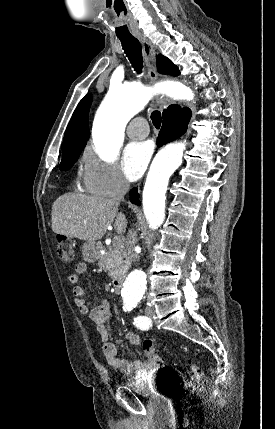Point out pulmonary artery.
Wrapping results in <instances>:
<instances>
[{"mask_svg":"<svg viewBox=\"0 0 275 429\" xmlns=\"http://www.w3.org/2000/svg\"><path fill=\"white\" fill-rule=\"evenodd\" d=\"M148 133L149 127L147 121L142 117L133 119L127 127V134L133 139H143L147 137Z\"/></svg>","mask_w":275,"mask_h":429,"instance_id":"1","label":"pulmonary artery"}]
</instances>
